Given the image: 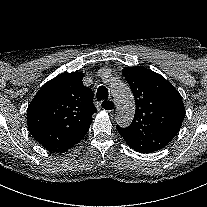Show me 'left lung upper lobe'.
Returning a JSON list of instances; mask_svg holds the SVG:
<instances>
[{"label":"left lung upper lobe","instance_id":"obj_1","mask_svg":"<svg viewBox=\"0 0 207 207\" xmlns=\"http://www.w3.org/2000/svg\"><path fill=\"white\" fill-rule=\"evenodd\" d=\"M122 74L135 97L130 126H116L126 143L140 153L165 147L179 132L185 117L180 93L162 75L144 67H126Z\"/></svg>","mask_w":207,"mask_h":207}]
</instances>
